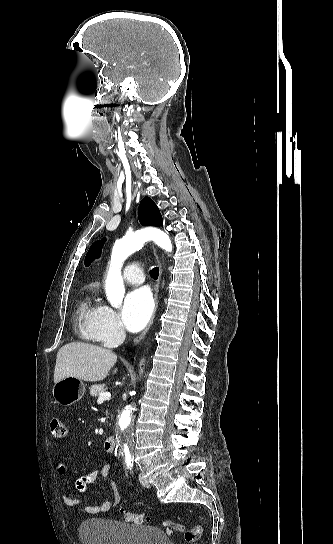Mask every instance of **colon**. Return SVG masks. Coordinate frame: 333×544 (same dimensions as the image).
<instances>
[{"label":"colon","instance_id":"obj_1","mask_svg":"<svg viewBox=\"0 0 333 544\" xmlns=\"http://www.w3.org/2000/svg\"><path fill=\"white\" fill-rule=\"evenodd\" d=\"M50 429L52 435L57 439H64L68 436V429L66 425L58 418L52 419L50 423ZM121 515L126 521L135 524H144L148 522V518H146L142 514L122 511ZM162 525L168 533H183L185 541L189 544L197 543L202 534V527L199 524H193L189 528H187L184 524L175 521L165 520L163 521Z\"/></svg>","mask_w":333,"mask_h":544}]
</instances>
